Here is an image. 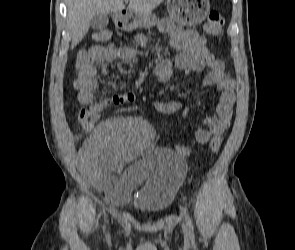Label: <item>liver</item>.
Returning <instances> with one entry per match:
<instances>
[{
	"mask_svg": "<svg viewBox=\"0 0 295 250\" xmlns=\"http://www.w3.org/2000/svg\"><path fill=\"white\" fill-rule=\"evenodd\" d=\"M124 1H129V11L152 12L164 0H66L72 48L84 38L95 15L121 12L125 9Z\"/></svg>",
	"mask_w": 295,
	"mask_h": 250,
	"instance_id": "obj_1",
	"label": "liver"
}]
</instances>
